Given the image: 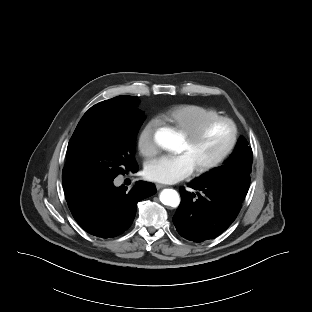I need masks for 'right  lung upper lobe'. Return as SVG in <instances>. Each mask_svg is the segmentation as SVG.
Wrapping results in <instances>:
<instances>
[{
	"mask_svg": "<svg viewBox=\"0 0 312 312\" xmlns=\"http://www.w3.org/2000/svg\"><path fill=\"white\" fill-rule=\"evenodd\" d=\"M135 97L134 96H117L115 98L109 99V101H116V102H124L129 103L131 102Z\"/></svg>",
	"mask_w": 312,
	"mask_h": 312,
	"instance_id": "obj_1",
	"label": "right lung upper lobe"
}]
</instances>
